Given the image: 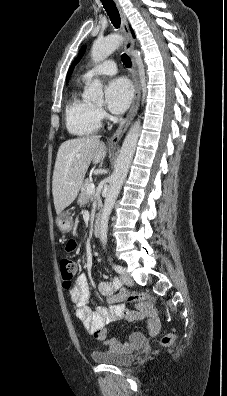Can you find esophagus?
I'll use <instances>...</instances> for the list:
<instances>
[{"label": "esophagus", "mask_w": 227, "mask_h": 396, "mask_svg": "<svg viewBox=\"0 0 227 396\" xmlns=\"http://www.w3.org/2000/svg\"><path fill=\"white\" fill-rule=\"evenodd\" d=\"M116 7L119 11L120 17H121V24H122V32L125 38V45H124V50L126 51V53H128L131 56L132 53V49L134 46V40L129 28V24L127 21V18L125 16V13L119 3L118 0H114ZM132 62H133V79H134V86H135V95H134V99L132 102V105L130 107L129 112L127 113L126 117L121 121L120 125L118 126L117 130L113 133V135L110 138V143L111 144H117L122 135L124 134V132L127 130L128 126L130 125L131 121L133 120V118L135 117L138 107H139V103H140V97H141V84L139 81V78L137 76V65L136 62L134 60V58L132 57Z\"/></svg>", "instance_id": "1"}]
</instances>
